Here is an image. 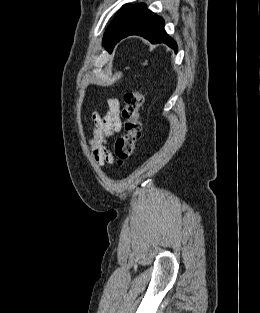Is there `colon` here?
<instances>
[{
    "label": "colon",
    "mask_w": 260,
    "mask_h": 313,
    "mask_svg": "<svg viewBox=\"0 0 260 313\" xmlns=\"http://www.w3.org/2000/svg\"><path fill=\"white\" fill-rule=\"evenodd\" d=\"M144 103V96L138 90L128 91L124 95L122 118L124 132L116 140L114 154L117 165L121 166L133 155L137 140L141 134L140 109Z\"/></svg>",
    "instance_id": "5ec220e1"
}]
</instances>
